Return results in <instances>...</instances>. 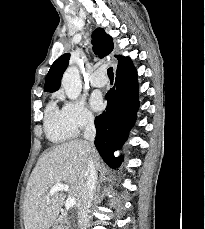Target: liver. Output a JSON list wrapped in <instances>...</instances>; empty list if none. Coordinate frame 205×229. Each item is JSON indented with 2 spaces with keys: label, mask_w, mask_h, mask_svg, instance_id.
<instances>
[{
  "label": "liver",
  "mask_w": 205,
  "mask_h": 229,
  "mask_svg": "<svg viewBox=\"0 0 205 229\" xmlns=\"http://www.w3.org/2000/svg\"><path fill=\"white\" fill-rule=\"evenodd\" d=\"M90 156L97 170H101L103 165L99 154L84 140H72L44 152L26 186L23 203L26 229H49L55 222L65 199L62 191L47 198L55 184L67 183L70 186V196L77 197L79 204L85 187Z\"/></svg>",
  "instance_id": "6515ba94"
}]
</instances>
